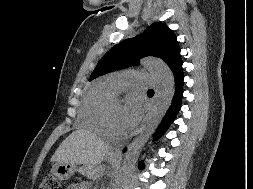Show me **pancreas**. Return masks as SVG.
<instances>
[{
  "mask_svg": "<svg viewBox=\"0 0 253 189\" xmlns=\"http://www.w3.org/2000/svg\"><path fill=\"white\" fill-rule=\"evenodd\" d=\"M81 173L88 178L96 179L100 174V169L98 167L86 165L81 169Z\"/></svg>",
  "mask_w": 253,
  "mask_h": 189,
  "instance_id": "obj_1",
  "label": "pancreas"
}]
</instances>
